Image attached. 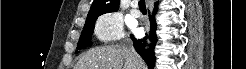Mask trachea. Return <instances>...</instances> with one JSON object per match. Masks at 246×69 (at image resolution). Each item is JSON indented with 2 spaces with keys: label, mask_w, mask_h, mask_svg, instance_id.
Listing matches in <instances>:
<instances>
[{
  "label": "trachea",
  "mask_w": 246,
  "mask_h": 69,
  "mask_svg": "<svg viewBox=\"0 0 246 69\" xmlns=\"http://www.w3.org/2000/svg\"><path fill=\"white\" fill-rule=\"evenodd\" d=\"M138 4L140 11H146L145 0H140Z\"/></svg>",
  "instance_id": "1"
}]
</instances>
